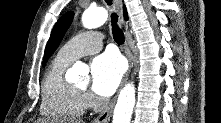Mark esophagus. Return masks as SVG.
<instances>
[{
    "mask_svg": "<svg viewBox=\"0 0 221 123\" xmlns=\"http://www.w3.org/2000/svg\"><path fill=\"white\" fill-rule=\"evenodd\" d=\"M115 5H116V8L119 13V22L121 25H125V22L123 19V10H122L123 9V2H122V0H115ZM125 54H126V57L128 60V69H127V72L123 78L121 86H123V84L127 81L129 74L131 72V69L133 67V55L129 49V38L128 37H126V41H125ZM116 98H117V96H115L112 99L110 104L94 119L93 123H107V122H109L112 112H113V108L116 103Z\"/></svg>",
    "mask_w": 221,
    "mask_h": 123,
    "instance_id": "1",
    "label": "esophagus"
}]
</instances>
